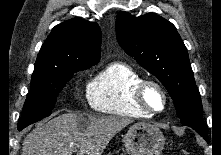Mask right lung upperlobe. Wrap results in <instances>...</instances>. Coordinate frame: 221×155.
I'll list each match as a JSON object with an SVG mask.
<instances>
[{
	"label": "right lung upper lobe",
	"instance_id": "1",
	"mask_svg": "<svg viewBox=\"0 0 221 155\" xmlns=\"http://www.w3.org/2000/svg\"><path fill=\"white\" fill-rule=\"evenodd\" d=\"M101 30L96 23L71 19L55 26L43 43L35 66L73 67L100 60Z\"/></svg>",
	"mask_w": 221,
	"mask_h": 155
}]
</instances>
